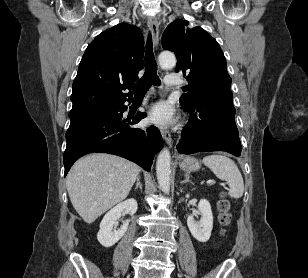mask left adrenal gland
<instances>
[{
  "label": "left adrenal gland",
  "mask_w": 308,
  "mask_h": 278,
  "mask_svg": "<svg viewBox=\"0 0 308 278\" xmlns=\"http://www.w3.org/2000/svg\"><path fill=\"white\" fill-rule=\"evenodd\" d=\"M189 174H185V180H183L182 182H181V184H183V183H191V184H193V182L191 181V180H189Z\"/></svg>",
  "instance_id": "left-adrenal-gland-1"
}]
</instances>
